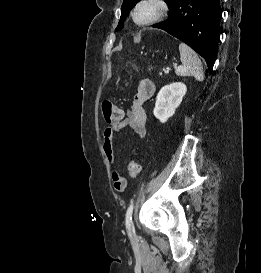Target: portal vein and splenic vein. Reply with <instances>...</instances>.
Returning a JSON list of instances; mask_svg holds the SVG:
<instances>
[{"label": "portal vein and splenic vein", "mask_w": 261, "mask_h": 273, "mask_svg": "<svg viewBox=\"0 0 261 273\" xmlns=\"http://www.w3.org/2000/svg\"><path fill=\"white\" fill-rule=\"evenodd\" d=\"M176 66H177V65L175 64V67H176ZM169 70H170V69H169V68H167L166 70H164V72H165V73H168V72H169Z\"/></svg>", "instance_id": "1"}]
</instances>
